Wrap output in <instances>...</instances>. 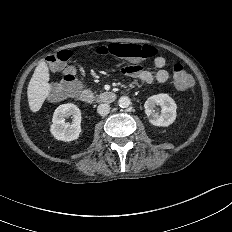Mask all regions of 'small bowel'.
Returning <instances> with one entry per match:
<instances>
[{
	"label": "small bowel",
	"mask_w": 232,
	"mask_h": 232,
	"mask_svg": "<svg viewBox=\"0 0 232 232\" xmlns=\"http://www.w3.org/2000/svg\"><path fill=\"white\" fill-rule=\"evenodd\" d=\"M153 65L156 68V72L153 73L147 69H143L141 66H127L122 68V72L135 77L145 84H152L154 82L165 83L169 79V73L165 69L166 59L162 56H157Z\"/></svg>",
	"instance_id": "1"
}]
</instances>
